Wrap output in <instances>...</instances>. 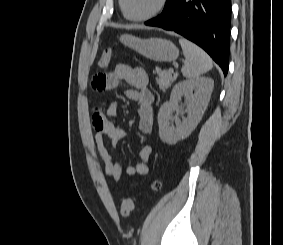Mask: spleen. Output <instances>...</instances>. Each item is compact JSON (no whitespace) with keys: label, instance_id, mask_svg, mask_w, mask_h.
<instances>
[{"label":"spleen","instance_id":"obj_1","mask_svg":"<svg viewBox=\"0 0 283 245\" xmlns=\"http://www.w3.org/2000/svg\"><path fill=\"white\" fill-rule=\"evenodd\" d=\"M179 43L185 56L182 67L184 77L197 79L200 75L212 69V60L203 49L185 38H180Z\"/></svg>","mask_w":283,"mask_h":245}]
</instances>
